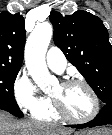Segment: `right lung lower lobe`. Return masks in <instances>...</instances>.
<instances>
[{
    "label": "right lung lower lobe",
    "instance_id": "right-lung-lower-lobe-1",
    "mask_svg": "<svg viewBox=\"0 0 112 135\" xmlns=\"http://www.w3.org/2000/svg\"><path fill=\"white\" fill-rule=\"evenodd\" d=\"M0 109L5 110L16 117H23V113L19 110V107L0 105Z\"/></svg>",
    "mask_w": 112,
    "mask_h": 135
}]
</instances>
